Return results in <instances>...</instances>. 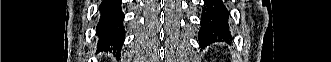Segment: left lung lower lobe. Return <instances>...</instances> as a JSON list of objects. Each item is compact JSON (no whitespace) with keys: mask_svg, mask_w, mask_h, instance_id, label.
Here are the masks:
<instances>
[{"mask_svg":"<svg viewBox=\"0 0 331 62\" xmlns=\"http://www.w3.org/2000/svg\"><path fill=\"white\" fill-rule=\"evenodd\" d=\"M202 13L201 30L198 34L201 47L231 37L229 11L222 0H204Z\"/></svg>","mask_w":331,"mask_h":62,"instance_id":"1","label":"left lung lower lobe"}]
</instances>
